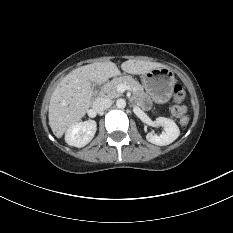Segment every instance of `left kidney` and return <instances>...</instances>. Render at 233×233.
Instances as JSON below:
<instances>
[{
    "instance_id": "left-kidney-1",
    "label": "left kidney",
    "mask_w": 233,
    "mask_h": 233,
    "mask_svg": "<svg viewBox=\"0 0 233 233\" xmlns=\"http://www.w3.org/2000/svg\"><path fill=\"white\" fill-rule=\"evenodd\" d=\"M155 122L158 125L164 126L165 131L162 132L160 135L154 133H148L146 135V139L150 143L159 146L169 145L172 142H174L180 135V130L173 120L165 117H158L156 118Z\"/></svg>"
}]
</instances>
